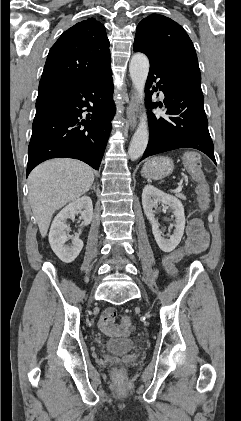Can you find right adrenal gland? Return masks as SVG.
Instances as JSON below:
<instances>
[{
	"mask_svg": "<svg viewBox=\"0 0 241 421\" xmlns=\"http://www.w3.org/2000/svg\"><path fill=\"white\" fill-rule=\"evenodd\" d=\"M92 189L95 191V184L93 185V187H91V190H92Z\"/></svg>",
	"mask_w": 241,
	"mask_h": 421,
	"instance_id": "1",
	"label": "right adrenal gland"
}]
</instances>
